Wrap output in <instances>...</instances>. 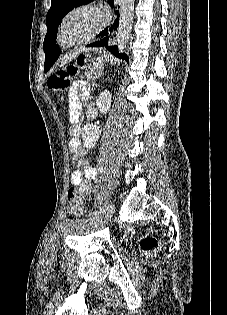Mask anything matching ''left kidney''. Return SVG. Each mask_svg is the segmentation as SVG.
Returning a JSON list of instances; mask_svg holds the SVG:
<instances>
[{
	"mask_svg": "<svg viewBox=\"0 0 227 315\" xmlns=\"http://www.w3.org/2000/svg\"><path fill=\"white\" fill-rule=\"evenodd\" d=\"M112 95L110 91L105 90L100 93L99 97L96 100V104L101 113L106 114L110 110ZM101 130L95 125H85L83 128V142L86 148H93L98 141Z\"/></svg>",
	"mask_w": 227,
	"mask_h": 315,
	"instance_id": "1",
	"label": "left kidney"
}]
</instances>
